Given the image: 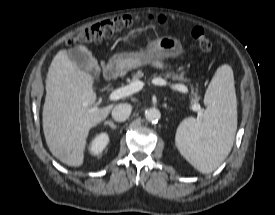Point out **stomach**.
Masks as SVG:
<instances>
[{
	"mask_svg": "<svg viewBox=\"0 0 275 215\" xmlns=\"http://www.w3.org/2000/svg\"><path fill=\"white\" fill-rule=\"evenodd\" d=\"M184 54L181 42L172 37H162L155 41L147 53H120L111 57L107 70L110 74L121 76L129 70L149 64L155 60L178 57Z\"/></svg>",
	"mask_w": 275,
	"mask_h": 215,
	"instance_id": "stomach-1",
	"label": "stomach"
}]
</instances>
